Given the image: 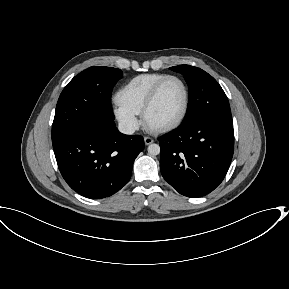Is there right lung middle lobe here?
<instances>
[{
    "mask_svg": "<svg viewBox=\"0 0 289 289\" xmlns=\"http://www.w3.org/2000/svg\"><path fill=\"white\" fill-rule=\"evenodd\" d=\"M122 77L112 67H90L75 76L62 91L52 125V143L77 128L96 122H114L111 92Z\"/></svg>",
    "mask_w": 289,
    "mask_h": 289,
    "instance_id": "1",
    "label": "right lung middle lobe"
}]
</instances>
